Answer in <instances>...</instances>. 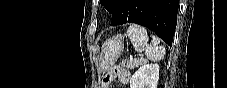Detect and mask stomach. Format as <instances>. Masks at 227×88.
Listing matches in <instances>:
<instances>
[{
  "label": "stomach",
  "mask_w": 227,
  "mask_h": 88,
  "mask_svg": "<svg viewBox=\"0 0 227 88\" xmlns=\"http://www.w3.org/2000/svg\"><path fill=\"white\" fill-rule=\"evenodd\" d=\"M124 36L118 34L105 41L100 54V68L103 72L108 71L117 61L124 49Z\"/></svg>",
  "instance_id": "0dacf381"
}]
</instances>
